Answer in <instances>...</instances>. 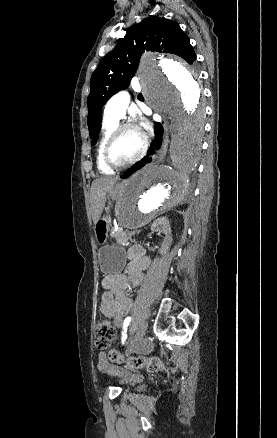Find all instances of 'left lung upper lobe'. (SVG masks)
I'll use <instances>...</instances> for the list:
<instances>
[{
	"label": "left lung upper lobe",
	"instance_id": "5c2ea615",
	"mask_svg": "<svg viewBox=\"0 0 277 438\" xmlns=\"http://www.w3.org/2000/svg\"><path fill=\"white\" fill-rule=\"evenodd\" d=\"M145 50L175 54L189 64L196 59L189 37L175 21L150 16L128 29L114 50L102 59L90 80L87 123L93 143L100 131L104 104L129 85Z\"/></svg>",
	"mask_w": 277,
	"mask_h": 438
}]
</instances>
